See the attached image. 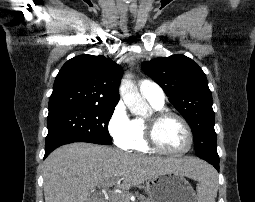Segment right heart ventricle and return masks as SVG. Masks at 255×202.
Listing matches in <instances>:
<instances>
[{
  "instance_id": "right-heart-ventricle-1",
  "label": "right heart ventricle",
  "mask_w": 255,
  "mask_h": 202,
  "mask_svg": "<svg viewBox=\"0 0 255 202\" xmlns=\"http://www.w3.org/2000/svg\"><path fill=\"white\" fill-rule=\"evenodd\" d=\"M149 103L151 104L154 110L163 109V104L158 105L151 102ZM131 126H132V141L129 149L143 153L150 152L151 149L146 144L144 137V119L143 118L133 119L131 122Z\"/></svg>"
}]
</instances>
